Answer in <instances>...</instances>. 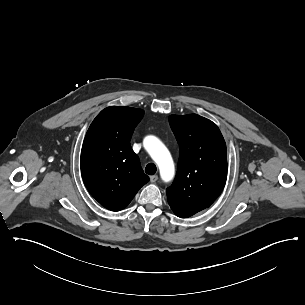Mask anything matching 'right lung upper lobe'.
Here are the masks:
<instances>
[{
  "instance_id": "obj_1",
  "label": "right lung upper lobe",
  "mask_w": 305,
  "mask_h": 305,
  "mask_svg": "<svg viewBox=\"0 0 305 305\" xmlns=\"http://www.w3.org/2000/svg\"><path fill=\"white\" fill-rule=\"evenodd\" d=\"M144 111L124 106L102 110L90 125L81 151V174L91 195L112 211L124 209L149 181L130 146Z\"/></svg>"
}]
</instances>
